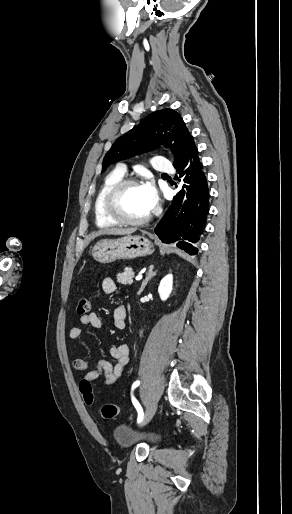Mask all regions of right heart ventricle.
Instances as JSON below:
<instances>
[{
  "mask_svg": "<svg viewBox=\"0 0 292 514\" xmlns=\"http://www.w3.org/2000/svg\"><path fill=\"white\" fill-rule=\"evenodd\" d=\"M124 175L120 174L117 170L109 173L103 180L100 187L97 189L93 199V215L95 224L98 227L106 228L114 225L115 223L110 220L103 212L102 209V198L105 191L112 186L114 183L123 179Z\"/></svg>",
  "mask_w": 292,
  "mask_h": 514,
  "instance_id": "right-heart-ventricle-1",
  "label": "right heart ventricle"
}]
</instances>
